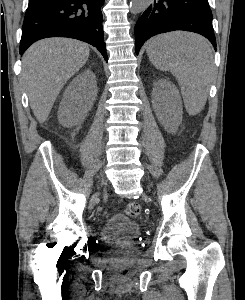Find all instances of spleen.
Masks as SVG:
<instances>
[{"label": "spleen", "mask_w": 245, "mask_h": 300, "mask_svg": "<svg viewBox=\"0 0 245 300\" xmlns=\"http://www.w3.org/2000/svg\"><path fill=\"white\" fill-rule=\"evenodd\" d=\"M146 52L157 69L175 76L187 112L198 114L205 106L213 70L206 40L193 33L171 32L150 39Z\"/></svg>", "instance_id": "spleen-1"}]
</instances>
